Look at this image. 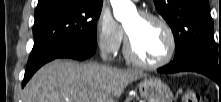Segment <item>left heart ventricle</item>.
Returning <instances> with one entry per match:
<instances>
[{"instance_id":"left-heart-ventricle-1","label":"left heart ventricle","mask_w":221,"mask_h":102,"mask_svg":"<svg viewBox=\"0 0 221 102\" xmlns=\"http://www.w3.org/2000/svg\"><path fill=\"white\" fill-rule=\"evenodd\" d=\"M125 27L140 58L153 63L165 57L169 49V38L159 23L136 14Z\"/></svg>"}]
</instances>
